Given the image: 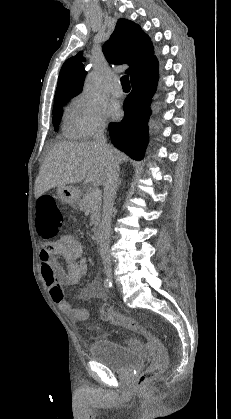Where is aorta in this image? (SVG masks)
I'll use <instances>...</instances> for the list:
<instances>
[{"label":"aorta","instance_id":"obj_1","mask_svg":"<svg viewBox=\"0 0 231 419\" xmlns=\"http://www.w3.org/2000/svg\"><path fill=\"white\" fill-rule=\"evenodd\" d=\"M100 75L97 72H92L88 75L84 83L83 92L87 96H93L99 89Z\"/></svg>","mask_w":231,"mask_h":419}]
</instances>
